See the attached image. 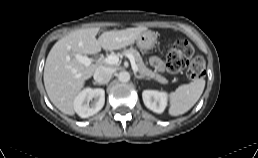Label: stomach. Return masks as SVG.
Listing matches in <instances>:
<instances>
[{
	"mask_svg": "<svg viewBox=\"0 0 258 158\" xmlns=\"http://www.w3.org/2000/svg\"><path fill=\"white\" fill-rule=\"evenodd\" d=\"M156 39L154 32L145 30L137 37L136 45L140 50L148 51L154 47Z\"/></svg>",
	"mask_w": 258,
	"mask_h": 158,
	"instance_id": "1",
	"label": "stomach"
}]
</instances>
